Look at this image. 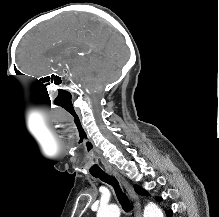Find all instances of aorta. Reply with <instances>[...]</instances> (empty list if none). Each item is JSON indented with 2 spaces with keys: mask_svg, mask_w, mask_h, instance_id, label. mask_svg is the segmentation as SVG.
Here are the masks:
<instances>
[{
  "mask_svg": "<svg viewBox=\"0 0 219 217\" xmlns=\"http://www.w3.org/2000/svg\"><path fill=\"white\" fill-rule=\"evenodd\" d=\"M97 217H120V209L117 205L101 207ZM143 217H163V212L156 204L150 203L145 207Z\"/></svg>",
  "mask_w": 219,
  "mask_h": 217,
  "instance_id": "1",
  "label": "aorta"
}]
</instances>
